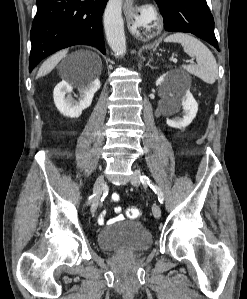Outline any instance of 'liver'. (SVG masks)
Listing matches in <instances>:
<instances>
[{"instance_id": "liver-1", "label": "liver", "mask_w": 247, "mask_h": 299, "mask_svg": "<svg viewBox=\"0 0 247 299\" xmlns=\"http://www.w3.org/2000/svg\"><path fill=\"white\" fill-rule=\"evenodd\" d=\"M88 53L92 54V56L95 57L99 65H101V61L95 53L93 52H88ZM66 54H67V50H62L49 57L46 61H44V63L39 68V71L37 73V78L43 77L48 73H50L61 61V59H63L66 56Z\"/></svg>"}]
</instances>
